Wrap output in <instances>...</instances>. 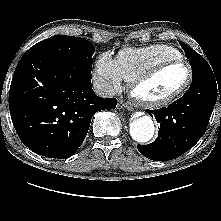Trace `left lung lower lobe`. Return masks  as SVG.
Listing matches in <instances>:
<instances>
[{
    "mask_svg": "<svg viewBox=\"0 0 221 221\" xmlns=\"http://www.w3.org/2000/svg\"><path fill=\"white\" fill-rule=\"evenodd\" d=\"M219 95L221 103V76L211 75L192 82L168 107L147 110L160 128L153 143L138 145L140 153L151 160L167 161L191 149L204 135Z\"/></svg>",
    "mask_w": 221,
    "mask_h": 221,
    "instance_id": "obj_1",
    "label": "left lung lower lobe"
}]
</instances>
